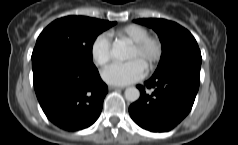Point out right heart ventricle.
Here are the masks:
<instances>
[{"mask_svg":"<svg viewBox=\"0 0 238 145\" xmlns=\"http://www.w3.org/2000/svg\"><path fill=\"white\" fill-rule=\"evenodd\" d=\"M112 34L116 35L118 39L133 44L147 36L148 30L141 25L128 24L114 31Z\"/></svg>","mask_w":238,"mask_h":145,"instance_id":"right-heart-ventricle-1","label":"right heart ventricle"}]
</instances>
